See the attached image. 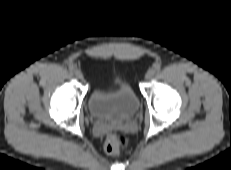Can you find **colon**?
I'll list each match as a JSON object with an SVG mask.
<instances>
[{"instance_id": "colon-1", "label": "colon", "mask_w": 231, "mask_h": 170, "mask_svg": "<svg viewBox=\"0 0 231 170\" xmlns=\"http://www.w3.org/2000/svg\"><path fill=\"white\" fill-rule=\"evenodd\" d=\"M126 145V138L121 133H114L108 136L105 142V150L109 154H118Z\"/></svg>"}]
</instances>
